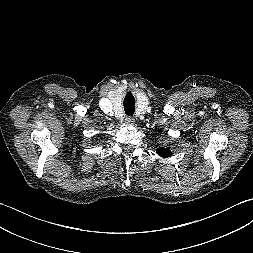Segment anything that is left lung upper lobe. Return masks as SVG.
I'll return each instance as SVG.
<instances>
[{
    "mask_svg": "<svg viewBox=\"0 0 253 253\" xmlns=\"http://www.w3.org/2000/svg\"><path fill=\"white\" fill-rule=\"evenodd\" d=\"M159 131H161V130H159ZM157 154L159 156H162V157H169V156L172 155V152L168 147H166V148L165 147H159L157 149Z\"/></svg>",
    "mask_w": 253,
    "mask_h": 253,
    "instance_id": "5c2ea615",
    "label": "left lung upper lobe"
}]
</instances>
